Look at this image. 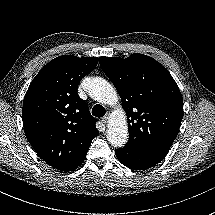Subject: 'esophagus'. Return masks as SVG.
I'll use <instances>...</instances> for the list:
<instances>
[{
    "label": "esophagus",
    "mask_w": 215,
    "mask_h": 215,
    "mask_svg": "<svg viewBox=\"0 0 215 215\" xmlns=\"http://www.w3.org/2000/svg\"><path fill=\"white\" fill-rule=\"evenodd\" d=\"M109 118H110V112H107L106 115L102 118V122L104 124H107Z\"/></svg>",
    "instance_id": "obj_1"
}]
</instances>
